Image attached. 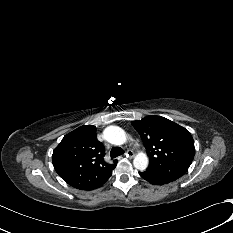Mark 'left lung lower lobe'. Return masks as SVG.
<instances>
[{
    "mask_svg": "<svg viewBox=\"0 0 233 233\" xmlns=\"http://www.w3.org/2000/svg\"><path fill=\"white\" fill-rule=\"evenodd\" d=\"M140 176L145 179L146 181L150 182L151 184L154 185H163V184H167L169 183L168 181L148 172V171H144V172H139Z\"/></svg>",
    "mask_w": 233,
    "mask_h": 233,
    "instance_id": "obj_1",
    "label": "left lung lower lobe"
}]
</instances>
